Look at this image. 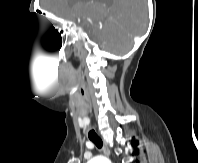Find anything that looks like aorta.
I'll list each match as a JSON object with an SVG mask.
<instances>
[{"label":"aorta","instance_id":"obj_1","mask_svg":"<svg viewBox=\"0 0 198 163\" xmlns=\"http://www.w3.org/2000/svg\"><path fill=\"white\" fill-rule=\"evenodd\" d=\"M87 163H110V161L104 156H96L89 160Z\"/></svg>","mask_w":198,"mask_h":163}]
</instances>
